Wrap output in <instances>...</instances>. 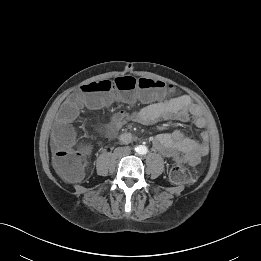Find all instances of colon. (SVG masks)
Wrapping results in <instances>:
<instances>
[{
  "label": "colon",
  "mask_w": 261,
  "mask_h": 261,
  "mask_svg": "<svg viewBox=\"0 0 261 261\" xmlns=\"http://www.w3.org/2000/svg\"><path fill=\"white\" fill-rule=\"evenodd\" d=\"M116 91L120 93L119 98L123 102L148 103L167 96L171 92V87L159 80L132 76L83 84L80 92L70 96L62 107L60 111L62 120L53 131V137L59 146L54 156V165L67 180H80L85 168L84 148L67 122L76 115L81 103L102 107L107 102L106 97ZM170 178L176 184H187L193 180L194 175L186 166L184 158L176 159L170 171Z\"/></svg>",
  "instance_id": "1"
}]
</instances>
